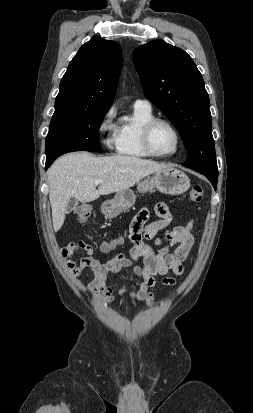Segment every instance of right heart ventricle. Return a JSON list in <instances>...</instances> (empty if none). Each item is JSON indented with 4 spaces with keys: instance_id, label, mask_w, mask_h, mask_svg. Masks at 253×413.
Wrapping results in <instances>:
<instances>
[{
    "instance_id": "1",
    "label": "right heart ventricle",
    "mask_w": 253,
    "mask_h": 413,
    "mask_svg": "<svg viewBox=\"0 0 253 413\" xmlns=\"http://www.w3.org/2000/svg\"><path fill=\"white\" fill-rule=\"evenodd\" d=\"M154 118L151 109L133 107L132 115L124 118L119 125L117 152L129 158H147L150 155L144 150L141 142V128Z\"/></svg>"
}]
</instances>
